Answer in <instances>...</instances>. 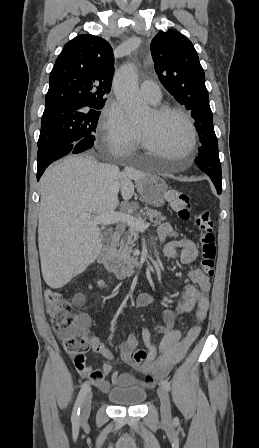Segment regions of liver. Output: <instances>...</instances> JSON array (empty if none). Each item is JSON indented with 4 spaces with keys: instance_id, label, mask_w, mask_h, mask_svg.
<instances>
[{
    "instance_id": "liver-1",
    "label": "liver",
    "mask_w": 259,
    "mask_h": 448,
    "mask_svg": "<svg viewBox=\"0 0 259 448\" xmlns=\"http://www.w3.org/2000/svg\"><path fill=\"white\" fill-rule=\"evenodd\" d=\"M128 174L94 158L67 156L41 178L38 242L42 276L50 288H63L95 262L102 250L101 230L79 214H106L127 200Z\"/></svg>"
}]
</instances>
